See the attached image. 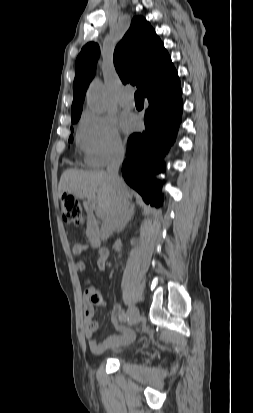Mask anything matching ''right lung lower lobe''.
<instances>
[{"mask_svg":"<svg viewBox=\"0 0 253 413\" xmlns=\"http://www.w3.org/2000/svg\"><path fill=\"white\" fill-rule=\"evenodd\" d=\"M180 82L171 87H154L147 94L145 131L132 134L122 164L125 181L151 205L160 206L159 182L154 174L163 172L162 158L174 143L182 120Z\"/></svg>","mask_w":253,"mask_h":413,"instance_id":"1","label":"right lung lower lobe"}]
</instances>
